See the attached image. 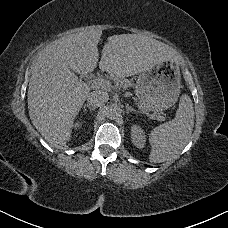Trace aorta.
<instances>
[{"instance_id": "1", "label": "aorta", "mask_w": 228, "mask_h": 228, "mask_svg": "<svg viewBox=\"0 0 228 228\" xmlns=\"http://www.w3.org/2000/svg\"><path fill=\"white\" fill-rule=\"evenodd\" d=\"M120 107L116 104L110 105L107 109V116L110 118L116 117L120 113Z\"/></svg>"}]
</instances>
